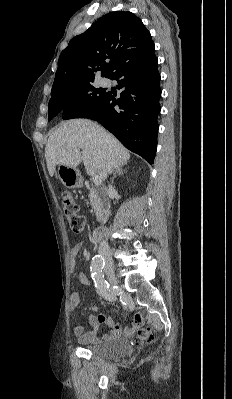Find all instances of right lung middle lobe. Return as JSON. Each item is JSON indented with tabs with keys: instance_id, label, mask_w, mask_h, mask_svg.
Wrapping results in <instances>:
<instances>
[{
	"instance_id": "right-lung-middle-lobe-1",
	"label": "right lung middle lobe",
	"mask_w": 232,
	"mask_h": 399,
	"mask_svg": "<svg viewBox=\"0 0 232 399\" xmlns=\"http://www.w3.org/2000/svg\"><path fill=\"white\" fill-rule=\"evenodd\" d=\"M105 96L104 90L95 89L91 83L81 84L66 93L51 95L48 105V120H51L62 110L64 117L70 119L80 112L95 109Z\"/></svg>"
}]
</instances>
